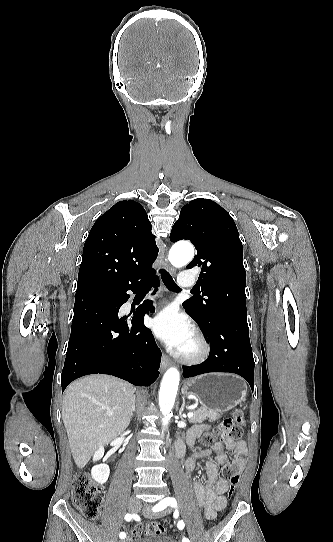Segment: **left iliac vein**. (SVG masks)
I'll return each instance as SVG.
<instances>
[{
	"label": "left iliac vein",
	"instance_id": "1",
	"mask_svg": "<svg viewBox=\"0 0 333 542\" xmlns=\"http://www.w3.org/2000/svg\"><path fill=\"white\" fill-rule=\"evenodd\" d=\"M151 508H152V506H151L150 504H148V503L145 504V506H144L143 509H142L143 515H144L145 517L150 518V517H153V516L155 515V514L151 511ZM165 513H167V510L164 511L163 513H161L160 515H163V514H165ZM160 515H158V516H160Z\"/></svg>",
	"mask_w": 333,
	"mask_h": 542
}]
</instances>
